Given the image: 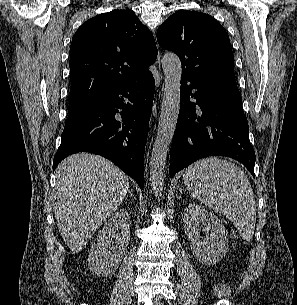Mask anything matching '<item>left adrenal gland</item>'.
<instances>
[{
  "mask_svg": "<svg viewBox=\"0 0 297 305\" xmlns=\"http://www.w3.org/2000/svg\"><path fill=\"white\" fill-rule=\"evenodd\" d=\"M182 190H184V189H180V192L182 193Z\"/></svg>",
  "mask_w": 297,
  "mask_h": 305,
  "instance_id": "left-adrenal-gland-1",
  "label": "left adrenal gland"
}]
</instances>
